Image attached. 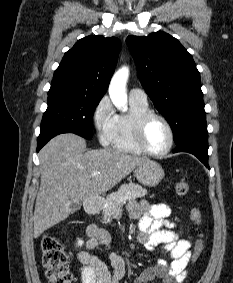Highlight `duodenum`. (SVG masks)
Instances as JSON below:
<instances>
[{"label":"duodenum","instance_id":"410a0bca","mask_svg":"<svg viewBox=\"0 0 233 283\" xmlns=\"http://www.w3.org/2000/svg\"><path fill=\"white\" fill-rule=\"evenodd\" d=\"M103 202L98 198H90L85 202V211L94 215L97 214L102 208Z\"/></svg>","mask_w":233,"mask_h":283}]
</instances>
